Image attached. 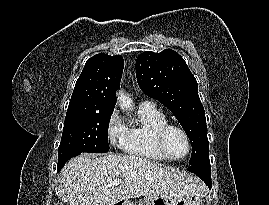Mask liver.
Here are the masks:
<instances>
[{"label": "liver", "mask_w": 269, "mask_h": 205, "mask_svg": "<svg viewBox=\"0 0 269 205\" xmlns=\"http://www.w3.org/2000/svg\"><path fill=\"white\" fill-rule=\"evenodd\" d=\"M115 179L122 182L113 187ZM60 183L69 205H114L140 196H202L204 187L190 174L177 175L137 156L80 155L62 169Z\"/></svg>", "instance_id": "1"}]
</instances>
